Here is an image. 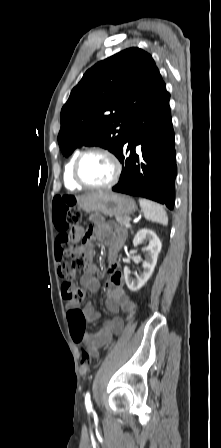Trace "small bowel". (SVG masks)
Wrapping results in <instances>:
<instances>
[{
  "mask_svg": "<svg viewBox=\"0 0 221 448\" xmlns=\"http://www.w3.org/2000/svg\"><path fill=\"white\" fill-rule=\"evenodd\" d=\"M93 222L94 225L90 229V236L81 247L86 253L89 262L81 278V284L86 287L91 294L98 291L99 283L94 276L96 266L91 263V251L98 242L106 245L108 247L110 276L107 281L105 305L112 314H117L122 310L127 313V319H130L136 311V305L127 295L123 287V278L118 271V263L116 259L118 252L125 243V236L120 232H113L110 225L100 217H94ZM74 231L80 235L83 232V229L76 228ZM79 310L88 321L97 320L100 316L90 302ZM122 329L123 320L116 316L113 319L106 321L98 333L85 335L83 342L88 347L91 355L97 357L99 350L109 345L113 341L114 336L119 334Z\"/></svg>",
  "mask_w": 221,
  "mask_h": 448,
  "instance_id": "c3829d8e",
  "label": "small bowel"
}]
</instances>
